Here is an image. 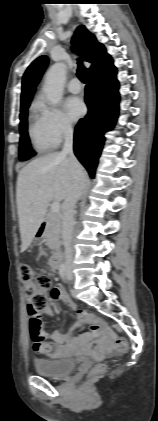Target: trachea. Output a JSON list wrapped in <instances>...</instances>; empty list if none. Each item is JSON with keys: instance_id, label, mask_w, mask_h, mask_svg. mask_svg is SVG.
Returning <instances> with one entry per match:
<instances>
[{"instance_id": "1", "label": "trachea", "mask_w": 158, "mask_h": 421, "mask_svg": "<svg viewBox=\"0 0 158 421\" xmlns=\"http://www.w3.org/2000/svg\"><path fill=\"white\" fill-rule=\"evenodd\" d=\"M77 76L81 80V82L86 83V81H87V69L83 66L81 60H78Z\"/></svg>"}]
</instances>
